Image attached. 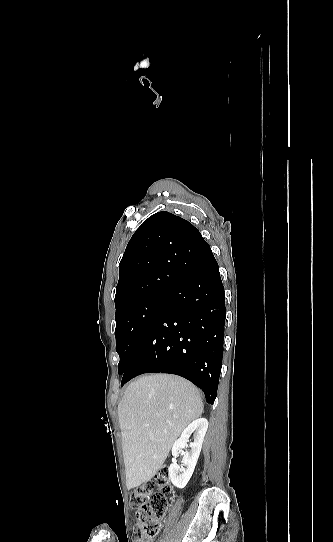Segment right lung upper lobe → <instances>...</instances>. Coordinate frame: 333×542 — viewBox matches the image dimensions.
Here are the masks:
<instances>
[{"label":"right lung upper lobe","mask_w":333,"mask_h":542,"mask_svg":"<svg viewBox=\"0 0 333 542\" xmlns=\"http://www.w3.org/2000/svg\"><path fill=\"white\" fill-rule=\"evenodd\" d=\"M208 244L191 223L169 212L150 216L131 237L119 264L116 288V314L148 297L169 292L184 273L162 259L166 249L193 252Z\"/></svg>","instance_id":"cb5924a9"}]
</instances>
